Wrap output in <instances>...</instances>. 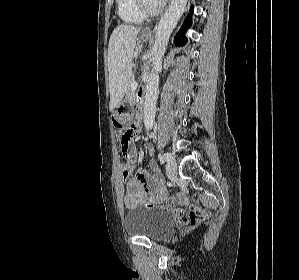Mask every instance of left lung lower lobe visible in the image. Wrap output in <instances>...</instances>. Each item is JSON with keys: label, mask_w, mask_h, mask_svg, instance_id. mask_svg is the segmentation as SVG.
<instances>
[{"label": "left lung lower lobe", "mask_w": 299, "mask_h": 280, "mask_svg": "<svg viewBox=\"0 0 299 280\" xmlns=\"http://www.w3.org/2000/svg\"><path fill=\"white\" fill-rule=\"evenodd\" d=\"M193 12V8H191V13ZM191 25V14L186 18L180 32L177 34L175 38V44L176 45H184L187 42L186 37L184 36V32L186 29Z\"/></svg>", "instance_id": "1"}]
</instances>
